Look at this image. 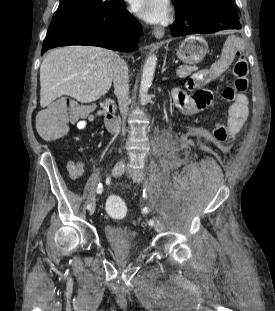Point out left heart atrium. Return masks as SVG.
<instances>
[{
	"label": "left heart atrium",
	"instance_id": "1",
	"mask_svg": "<svg viewBox=\"0 0 275 311\" xmlns=\"http://www.w3.org/2000/svg\"><path fill=\"white\" fill-rule=\"evenodd\" d=\"M131 6L148 23H164L169 16L168 0H131Z\"/></svg>",
	"mask_w": 275,
	"mask_h": 311
}]
</instances>
